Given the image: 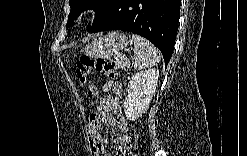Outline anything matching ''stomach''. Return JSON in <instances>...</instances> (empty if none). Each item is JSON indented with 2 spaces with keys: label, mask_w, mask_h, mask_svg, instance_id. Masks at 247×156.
<instances>
[{
  "label": "stomach",
  "mask_w": 247,
  "mask_h": 156,
  "mask_svg": "<svg viewBox=\"0 0 247 156\" xmlns=\"http://www.w3.org/2000/svg\"><path fill=\"white\" fill-rule=\"evenodd\" d=\"M129 43L130 40L126 34L114 31L93 40L87 45L85 51L92 58H107L127 47Z\"/></svg>",
  "instance_id": "stomach-1"
}]
</instances>
